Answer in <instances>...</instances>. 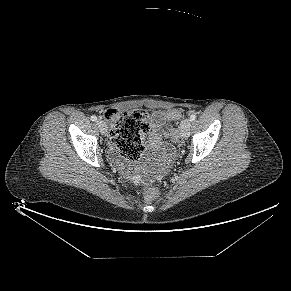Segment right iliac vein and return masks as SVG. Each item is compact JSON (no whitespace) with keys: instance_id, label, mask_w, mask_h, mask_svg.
<instances>
[{"instance_id":"1","label":"right iliac vein","mask_w":291,"mask_h":291,"mask_svg":"<svg viewBox=\"0 0 291 291\" xmlns=\"http://www.w3.org/2000/svg\"><path fill=\"white\" fill-rule=\"evenodd\" d=\"M97 126L99 127L101 134L106 135V133H107L106 124L103 121L99 120V121H97Z\"/></svg>"}]
</instances>
